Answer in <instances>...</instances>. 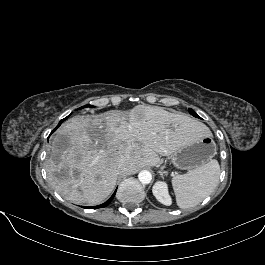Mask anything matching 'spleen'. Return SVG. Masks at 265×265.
<instances>
[{"mask_svg": "<svg viewBox=\"0 0 265 265\" xmlns=\"http://www.w3.org/2000/svg\"><path fill=\"white\" fill-rule=\"evenodd\" d=\"M219 176L220 166L215 159L186 174L174 176L172 186L177 205L182 209L198 205L216 188Z\"/></svg>", "mask_w": 265, "mask_h": 265, "instance_id": "obj_1", "label": "spleen"}]
</instances>
